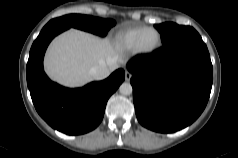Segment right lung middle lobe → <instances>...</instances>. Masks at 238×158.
Listing matches in <instances>:
<instances>
[{
  "label": "right lung middle lobe",
  "mask_w": 238,
  "mask_h": 158,
  "mask_svg": "<svg viewBox=\"0 0 238 158\" xmlns=\"http://www.w3.org/2000/svg\"><path fill=\"white\" fill-rule=\"evenodd\" d=\"M115 25L112 19H102L88 15L70 14L49 21L43 29L50 27H74L100 36H105Z\"/></svg>",
  "instance_id": "dd1d6c3e"
}]
</instances>
